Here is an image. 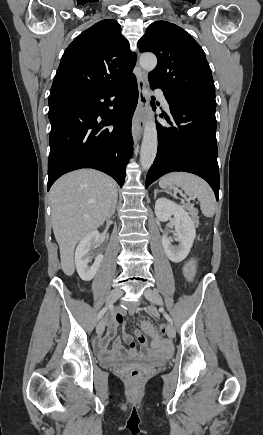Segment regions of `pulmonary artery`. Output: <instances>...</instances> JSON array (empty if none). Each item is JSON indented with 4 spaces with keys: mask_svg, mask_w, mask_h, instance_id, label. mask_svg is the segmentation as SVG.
Instances as JSON below:
<instances>
[{
    "mask_svg": "<svg viewBox=\"0 0 263 435\" xmlns=\"http://www.w3.org/2000/svg\"><path fill=\"white\" fill-rule=\"evenodd\" d=\"M157 93H158L159 96H160V100H161V103H162L163 107H164L166 110H169L170 107H169L168 101H167L166 97L164 96L163 92H162L161 90L158 89V90H157Z\"/></svg>",
    "mask_w": 263,
    "mask_h": 435,
    "instance_id": "e3ab8cb5",
    "label": "pulmonary artery"
}]
</instances>
